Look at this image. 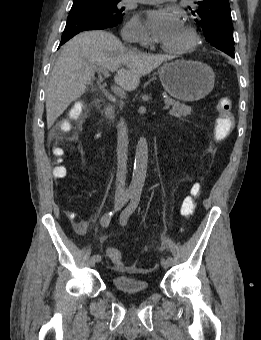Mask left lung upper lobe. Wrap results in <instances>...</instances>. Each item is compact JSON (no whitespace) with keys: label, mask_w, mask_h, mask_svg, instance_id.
I'll return each mask as SVG.
<instances>
[{"label":"left lung upper lobe","mask_w":261,"mask_h":340,"mask_svg":"<svg viewBox=\"0 0 261 340\" xmlns=\"http://www.w3.org/2000/svg\"><path fill=\"white\" fill-rule=\"evenodd\" d=\"M192 10L206 40L226 54H234L233 24L228 0H198ZM190 9V7H189Z\"/></svg>","instance_id":"1"}]
</instances>
